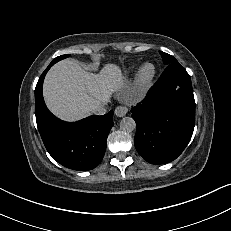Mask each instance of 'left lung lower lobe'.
Masks as SVG:
<instances>
[{
    "label": "left lung lower lobe",
    "mask_w": 231,
    "mask_h": 231,
    "mask_svg": "<svg viewBox=\"0 0 231 231\" xmlns=\"http://www.w3.org/2000/svg\"><path fill=\"white\" fill-rule=\"evenodd\" d=\"M136 122L134 144L149 163L176 159L187 146L195 125L191 79L177 62L167 66L145 99L131 109Z\"/></svg>",
    "instance_id": "0a47b994"
}]
</instances>
